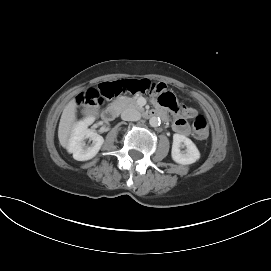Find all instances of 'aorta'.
<instances>
[{
  "label": "aorta",
  "mask_w": 271,
  "mask_h": 271,
  "mask_svg": "<svg viewBox=\"0 0 271 271\" xmlns=\"http://www.w3.org/2000/svg\"><path fill=\"white\" fill-rule=\"evenodd\" d=\"M160 123H161L160 118L156 116L151 117L149 120V124L152 127H157L160 125Z\"/></svg>",
  "instance_id": "762f6f07"
}]
</instances>
